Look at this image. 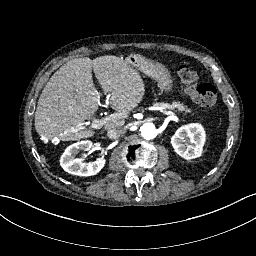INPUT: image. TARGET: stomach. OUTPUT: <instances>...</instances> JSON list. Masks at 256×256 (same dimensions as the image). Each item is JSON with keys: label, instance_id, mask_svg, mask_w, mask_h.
Here are the masks:
<instances>
[{"label": "stomach", "instance_id": "0dacf381", "mask_svg": "<svg viewBox=\"0 0 256 256\" xmlns=\"http://www.w3.org/2000/svg\"><path fill=\"white\" fill-rule=\"evenodd\" d=\"M135 65L142 72L156 78L161 89L165 91L171 90L172 80L168 73V67L162 60L152 57L147 53H140L135 58Z\"/></svg>", "mask_w": 256, "mask_h": 256}]
</instances>
